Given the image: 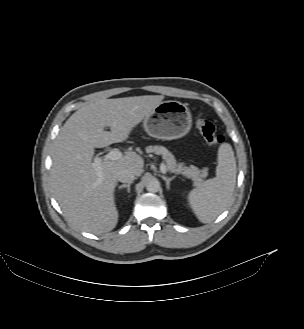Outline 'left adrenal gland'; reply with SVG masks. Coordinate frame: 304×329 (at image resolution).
I'll use <instances>...</instances> for the list:
<instances>
[{
	"label": "left adrenal gland",
	"instance_id": "obj_1",
	"mask_svg": "<svg viewBox=\"0 0 304 329\" xmlns=\"http://www.w3.org/2000/svg\"><path fill=\"white\" fill-rule=\"evenodd\" d=\"M174 178H175L174 176L168 178V177L162 175V179L165 180V182H166V188H167V190L170 189V182H171Z\"/></svg>",
	"mask_w": 304,
	"mask_h": 329
}]
</instances>
